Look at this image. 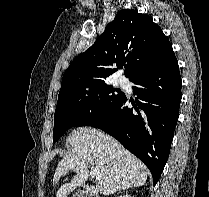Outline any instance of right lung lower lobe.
<instances>
[{"label":"right lung lower lobe","mask_w":209,"mask_h":197,"mask_svg":"<svg viewBox=\"0 0 209 197\" xmlns=\"http://www.w3.org/2000/svg\"><path fill=\"white\" fill-rule=\"evenodd\" d=\"M134 101L124 94L88 125L116 138L151 171L157 183L169 156L181 102V76L174 52L131 80ZM131 102L133 108H128Z\"/></svg>","instance_id":"1"}]
</instances>
